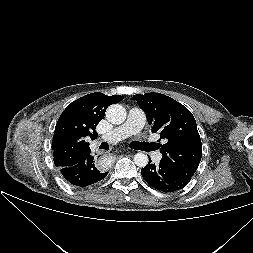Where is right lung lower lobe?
Instances as JSON below:
<instances>
[{
	"label": "right lung lower lobe",
	"mask_w": 253,
	"mask_h": 253,
	"mask_svg": "<svg viewBox=\"0 0 253 253\" xmlns=\"http://www.w3.org/2000/svg\"><path fill=\"white\" fill-rule=\"evenodd\" d=\"M59 170L69 183L78 187L95 184L108 174V172H102L96 167L93 156L74 166L63 167Z\"/></svg>",
	"instance_id": "right-lung-lower-lobe-1"
}]
</instances>
